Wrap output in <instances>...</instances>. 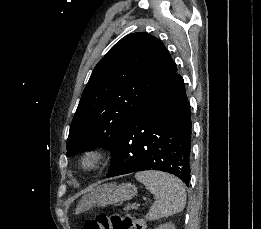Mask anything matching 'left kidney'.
Returning a JSON list of instances; mask_svg holds the SVG:
<instances>
[{
    "label": "left kidney",
    "instance_id": "1",
    "mask_svg": "<svg viewBox=\"0 0 261 229\" xmlns=\"http://www.w3.org/2000/svg\"><path fill=\"white\" fill-rule=\"evenodd\" d=\"M157 229H175V225H172V223H166V225H159Z\"/></svg>",
    "mask_w": 261,
    "mask_h": 229
}]
</instances>
